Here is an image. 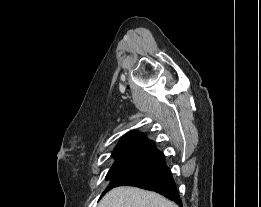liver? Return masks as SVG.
<instances>
[{
	"label": "liver",
	"instance_id": "obj_1",
	"mask_svg": "<svg viewBox=\"0 0 261 207\" xmlns=\"http://www.w3.org/2000/svg\"><path fill=\"white\" fill-rule=\"evenodd\" d=\"M98 207H178L155 192L122 186L109 191Z\"/></svg>",
	"mask_w": 261,
	"mask_h": 207
}]
</instances>
